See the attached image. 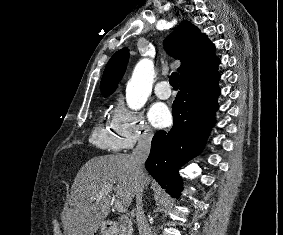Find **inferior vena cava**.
I'll use <instances>...</instances> for the list:
<instances>
[{"instance_id":"obj_1","label":"inferior vena cava","mask_w":283,"mask_h":235,"mask_svg":"<svg viewBox=\"0 0 283 235\" xmlns=\"http://www.w3.org/2000/svg\"><path fill=\"white\" fill-rule=\"evenodd\" d=\"M151 132H144L140 135L138 139V144L134 148L132 154L130 155L131 160L133 161L136 169V179L138 184L136 186V223L138 227L139 235H151L149 224L146 220L143 205H142V196H143V184L142 177L144 174V164L149 156L152 140Z\"/></svg>"}]
</instances>
